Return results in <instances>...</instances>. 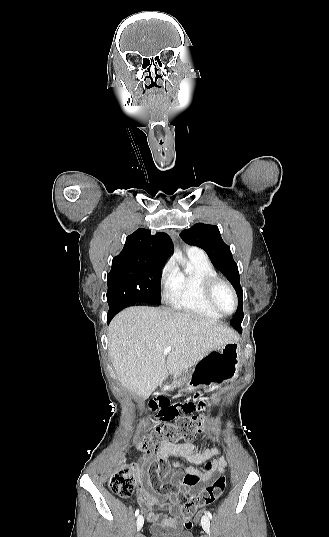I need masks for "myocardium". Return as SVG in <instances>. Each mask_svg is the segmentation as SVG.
<instances>
[{
    "label": "myocardium",
    "mask_w": 329,
    "mask_h": 537,
    "mask_svg": "<svg viewBox=\"0 0 329 537\" xmlns=\"http://www.w3.org/2000/svg\"><path fill=\"white\" fill-rule=\"evenodd\" d=\"M219 287H225L226 289H228L230 291V293L232 294L233 296V299H234V308L231 312H225L223 311L216 303L215 301V292L216 290L219 288ZM204 294H205V298L208 302V304L215 310L217 311L219 314L221 315H224V316H227V315H231L233 314L237 308H238V296H237V293L235 291V289L232 287V285L219 278V277H211V278H207L204 282Z\"/></svg>",
    "instance_id": "myocardium-1"
}]
</instances>
